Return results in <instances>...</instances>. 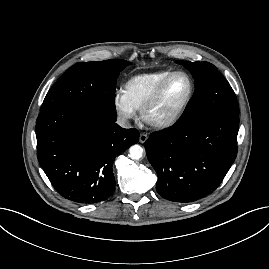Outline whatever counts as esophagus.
<instances>
[{
    "instance_id": "esophagus-1",
    "label": "esophagus",
    "mask_w": 269,
    "mask_h": 269,
    "mask_svg": "<svg viewBox=\"0 0 269 269\" xmlns=\"http://www.w3.org/2000/svg\"><path fill=\"white\" fill-rule=\"evenodd\" d=\"M148 139V135L146 133H141L139 136L140 143H144Z\"/></svg>"
}]
</instances>
